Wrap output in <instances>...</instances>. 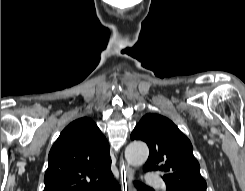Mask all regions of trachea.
Returning a JSON list of instances; mask_svg holds the SVG:
<instances>
[{
  "label": "trachea",
  "instance_id": "obj_1",
  "mask_svg": "<svg viewBox=\"0 0 245 191\" xmlns=\"http://www.w3.org/2000/svg\"><path fill=\"white\" fill-rule=\"evenodd\" d=\"M135 186L137 187V188H146V186L145 185H143V184H141V183H137V182H135Z\"/></svg>",
  "mask_w": 245,
  "mask_h": 191
}]
</instances>
